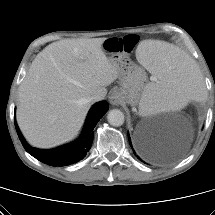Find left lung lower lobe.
<instances>
[{"label": "left lung lower lobe", "instance_id": "left-lung-lower-lobe-1", "mask_svg": "<svg viewBox=\"0 0 215 215\" xmlns=\"http://www.w3.org/2000/svg\"><path fill=\"white\" fill-rule=\"evenodd\" d=\"M128 137H129L130 146L132 147L130 136H128ZM132 149H133V147H132ZM133 152H134V155H135L140 161H142V162H143V160L140 158V156L143 157L144 159L148 160V161H155L154 158H152L151 156L147 155V154L144 153V152H140L139 155L136 154V152L134 151V149H133Z\"/></svg>", "mask_w": 215, "mask_h": 215}]
</instances>
